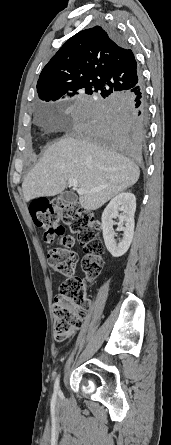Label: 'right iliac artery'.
<instances>
[{
  "mask_svg": "<svg viewBox=\"0 0 171 445\" xmlns=\"http://www.w3.org/2000/svg\"><path fill=\"white\" fill-rule=\"evenodd\" d=\"M54 392L55 393H60V390H59V376L57 377V379L55 381V384H54Z\"/></svg>",
  "mask_w": 171,
  "mask_h": 445,
  "instance_id": "82829eb1",
  "label": "right iliac artery"
}]
</instances>
